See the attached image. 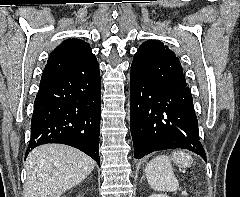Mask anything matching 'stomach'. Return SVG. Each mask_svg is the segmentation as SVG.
<instances>
[{"label": "stomach", "mask_w": 240, "mask_h": 197, "mask_svg": "<svg viewBox=\"0 0 240 197\" xmlns=\"http://www.w3.org/2000/svg\"><path fill=\"white\" fill-rule=\"evenodd\" d=\"M178 164H181L183 166H190L191 161L190 162L181 161V162H178Z\"/></svg>", "instance_id": "0dacf381"}]
</instances>
